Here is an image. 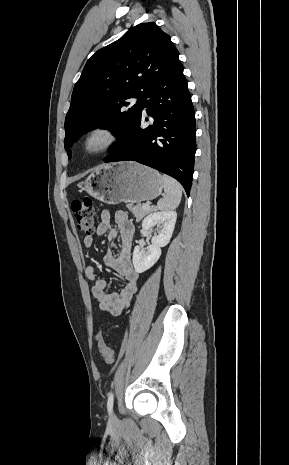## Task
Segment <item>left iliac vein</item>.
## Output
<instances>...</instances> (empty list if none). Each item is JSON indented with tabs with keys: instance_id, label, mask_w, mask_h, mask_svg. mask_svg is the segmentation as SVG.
Instances as JSON below:
<instances>
[{
	"instance_id": "1",
	"label": "left iliac vein",
	"mask_w": 289,
	"mask_h": 465,
	"mask_svg": "<svg viewBox=\"0 0 289 465\" xmlns=\"http://www.w3.org/2000/svg\"><path fill=\"white\" fill-rule=\"evenodd\" d=\"M116 421V416L114 413L111 412V416H110V422H115Z\"/></svg>"
}]
</instances>
